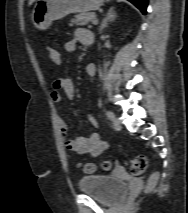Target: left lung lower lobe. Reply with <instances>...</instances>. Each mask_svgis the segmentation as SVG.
I'll list each match as a JSON object with an SVG mask.
<instances>
[{"label": "left lung lower lobe", "mask_w": 188, "mask_h": 213, "mask_svg": "<svg viewBox=\"0 0 188 213\" xmlns=\"http://www.w3.org/2000/svg\"><path fill=\"white\" fill-rule=\"evenodd\" d=\"M132 2L143 14H146L148 0H128Z\"/></svg>", "instance_id": "0a47b994"}]
</instances>
